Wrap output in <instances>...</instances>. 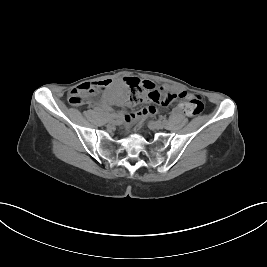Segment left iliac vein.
Here are the masks:
<instances>
[{
  "label": "left iliac vein",
  "instance_id": "4c4485c4",
  "mask_svg": "<svg viewBox=\"0 0 267 267\" xmlns=\"http://www.w3.org/2000/svg\"><path fill=\"white\" fill-rule=\"evenodd\" d=\"M149 126L152 129H163L164 128V123L161 121H150Z\"/></svg>",
  "mask_w": 267,
  "mask_h": 267
}]
</instances>
